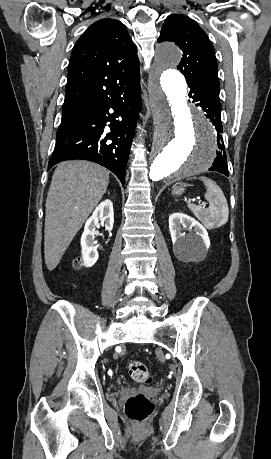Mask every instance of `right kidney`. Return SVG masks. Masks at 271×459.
Returning a JSON list of instances; mask_svg holds the SVG:
<instances>
[{
    "label": "right kidney",
    "mask_w": 271,
    "mask_h": 459,
    "mask_svg": "<svg viewBox=\"0 0 271 459\" xmlns=\"http://www.w3.org/2000/svg\"><path fill=\"white\" fill-rule=\"evenodd\" d=\"M104 222L106 229H112L114 224V212H113V204L111 200H104L101 202L99 206H97L96 210L93 212V216L87 220L85 224L84 231L81 235V247H82V257L83 263L85 267H91L94 265L95 261H97L99 257V253L96 249L94 241V233L95 226H98V222Z\"/></svg>",
    "instance_id": "1"
}]
</instances>
